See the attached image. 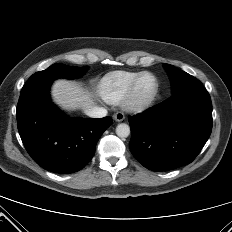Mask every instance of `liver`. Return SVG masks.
<instances>
[{"label":"liver","instance_id":"obj_1","mask_svg":"<svg viewBox=\"0 0 232 232\" xmlns=\"http://www.w3.org/2000/svg\"><path fill=\"white\" fill-rule=\"evenodd\" d=\"M51 95L53 101L62 109L75 110L82 108L87 110L92 107L90 95L75 82L59 79L52 86Z\"/></svg>","mask_w":232,"mask_h":232}]
</instances>
